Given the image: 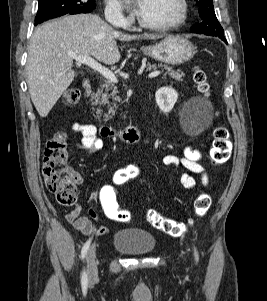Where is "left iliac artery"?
Returning <instances> with one entry per match:
<instances>
[{
	"mask_svg": "<svg viewBox=\"0 0 267 301\" xmlns=\"http://www.w3.org/2000/svg\"><path fill=\"white\" fill-rule=\"evenodd\" d=\"M194 251H195V258L198 261V253H197L196 249H194Z\"/></svg>",
	"mask_w": 267,
	"mask_h": 301,
	"instance_id": "44dca946",
	"label": "left iliac artery"
}]
</instances>
